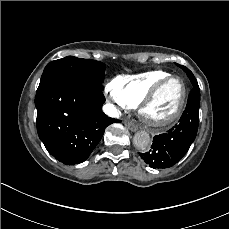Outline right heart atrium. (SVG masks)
Segmentation results:
<instances>
[{
    "mask_svg": "<svg viewBox=\"0 0 229 229\" xmlns=\"http://www.w3.org/2000/svg\"><path fill=\"white\" fill-rule=\"evenodd\" d=\"M107 92L110 94V98L111 100L118 105L120 108L128 110L131 109L133 107V104L122 99L121 97H119L118 95H116V93L114 92L113 86L112 84L109 85L107 87Z\"/></svg>",
    "mask_w": 229,
    "mask_h": 229,
    "instance_id": "obj_1",
    "label": "right heart atrium"
}]
</instances>
